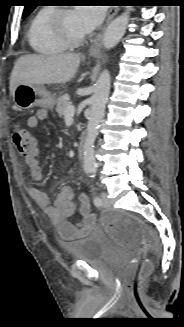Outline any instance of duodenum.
Returning a JSON list of instances; mask_svg holds the SVG:
<instances>
[{
  "label": "duodenum",
  "instance_id": "duodenum-1",
  "mask_svg": "<svg viewBox=\"0 0 184 327\" xmlns=\"http://www.w3.org/2000/svg\"><path fill=\"white\" fill-rule=\"evenodd\" d=\"M85 148H86V137L84 135H82L80 137V141L78 144V155H79V158H81V159L84 156Z\"/></svg>",
  "mask_w": 184,
  "mask_h": 327
}]
</instances>
